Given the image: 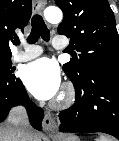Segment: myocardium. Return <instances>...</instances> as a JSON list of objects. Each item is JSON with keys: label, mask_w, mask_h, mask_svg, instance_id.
<instances>
[{"label": "myocardium", "mask_w": 119, "mask_h": 141, "mask_svg": "<svg viewBox=\"0 0 119 141\" xmlns=\"http://www.w3.org/2000/svg\"><path fill=\"white\" fill-rule=\"evenodd\" d=\"M75 99V91L71 84H66L52 105L55 108H66L70 106Z\"/></svg>", "instance_id": "myocardium-1"}]
</instances>
